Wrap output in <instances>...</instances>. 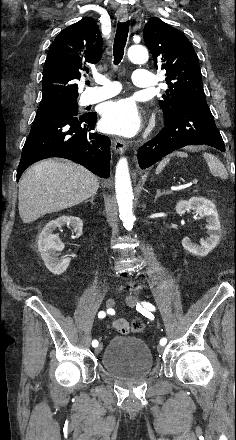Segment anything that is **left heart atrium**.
Wrapping results in <instances>:
<instances>
[{
    "label": "left heart atrium",
    "instance_id": "1",
    "mask_svg": "<svg viewBox=\"0 0 236 440\" xmlns=\"http://www.w3.org/2000/svg\"><path fill=\"white\" fill-rule=\"evenodd\" d=\"M102 126L105 131L123 136L135 135L141 126L137 106L130 99L109 103L103 111Z\"/></svg>",
    "mask_w": 236,
    "mask_h": 440
}]
</instances>
